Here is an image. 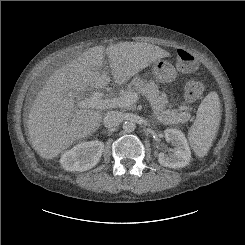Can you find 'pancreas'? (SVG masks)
<instances>
[{
  "label": "pancreas",
  "instance_id": "1",
  "mask_svg": "<svg viewBox=\"0 0 245 245\" xmlns=\"http://www.w3.org/2000/svg\"><path fill=\"white\" fill-rule=\"evenodd\" d=\"M131 92L145 95L150 102L154 116L165 125L185 123L191 117L188 111L182 112L176 109H166L168 103L167 96L159 91L158 85L153 80L147 81L138 77L133 78L124 93L128 94Z\"/></svg>",
  "mask_w": 245,
  "mask_h": 245
}]
</instances>
